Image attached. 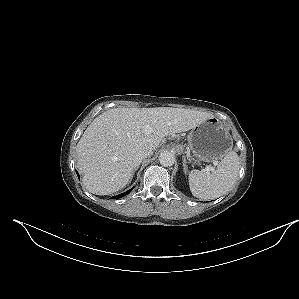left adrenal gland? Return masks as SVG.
<instances>
[{
	"label": "left adrenal gland",
	"mask_w": 299,
	"mask_h": 299,
	"mask_svg": "<svg viewBox=\"0 0 299 299\" xmlns=\"http://www.w3.org/2000/svg\"><path fill=\"white\" fill-rule=\"evenodd\" d=\"M187 164H186V159L183 158V170H184V173L187 174Z\"/></svg>",
	"instance_id": "1"
}]
</instances>
